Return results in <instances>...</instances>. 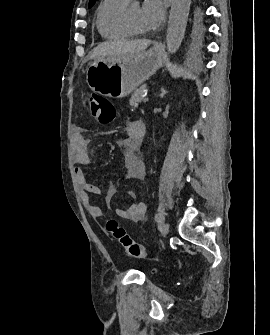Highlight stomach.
<instances>
[{
  "instance_id": "obj_1",
  "label": "stomach",
  "mask_w": 270,
  "mask_h": 335,
  "mask_svg": "<svg viewBox=\"0 0 270 335\" xmlns=\"http://www.w3.org/2000/svg\"><path fill=\"white\" fill-rule=\"evenodd\" d=\"M163 48H150L147 52L115 56L108 60H95L87 68L86 80L89 88L107 98H126L149 76L162 68Z\"/></svg>"
}]
</instances>
